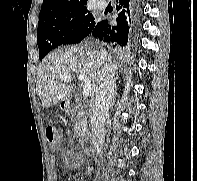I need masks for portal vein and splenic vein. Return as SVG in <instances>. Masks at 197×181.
Segmentation results:
<instances>
[{"mask_svg":"<svg viewBox=\"0 0 197 181\" xmlns=\"http://www.w3.org/2000/svg\"><path fill=\"white\" fill-rule=\"evenodd\" d=\"M73 78L70 75H61L59 77L60 81H71ZM77 79L84 82L83 86V96L88 97L92 91L91 80L89 79L87 74H79Z\"/></svg>","mask_w":197,"mask_h":181,"instance_id":"18ae733b","label":"portal vein and splenic vein"}]
</instances>
